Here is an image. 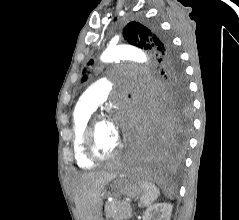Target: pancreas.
<instances>
[{"mask_svg": "<svg viewBox=\"0 0 239 220\" xmlns=\"http://www.w3.org/2000/svg\"><path fill=\"white\" fill-rule=\"evenodd\" d=\"M107 218L114 220H128L132 217V210L129 204L121 201H112L105 206Z\"/></svg>", "mask_w": 239, "mask_h": 220, "instance_id": "obj_1", "label": "pancreas"}]
</instances>
